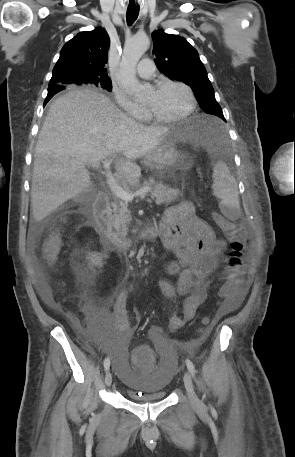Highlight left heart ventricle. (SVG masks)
I'll use <instances>...</instances> for the list:
<instances>
[{
    "label": "left heart ventricle",
    "mask_w": 295,
    "mask_h": 457,
    "mask_svg": "<svg viewBox=\"0 0 295 457\" xmlns=\"http://www.w3.org/2000/svg\"><path fill=\"white\" fill-rule=\"evenodd\" d=\"M144 104L160 116L173 117L183 113L188 108L189 98L183 88L168 85L160 89H152Z\"/></svg>",
    "instance_id": "b2bd125f"
}]
</instances>
